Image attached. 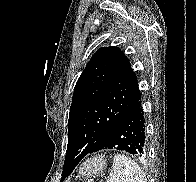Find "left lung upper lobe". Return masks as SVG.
I'll use <instances>...</instances> for the list:
<instances>
[{
    "label": "left lung upper lobe",
    "instance_id": "5c2ea615",
    "mask_svg": "<svg viewBox=\"0 0 196 182\" xmlns=\"http://www.w3.org/2000/svg\"><path fill=\"white\" fill-rule=\"evenodd\" d=\"M141 95L129 59L117 47L99 49L74 88L68 121V147L87 154L101 143L117 120ZM65 161L61 181L76 167Z\"/></svg>",
    "mask_w": 196,
    "mask_h": 182
}]
</instances>
